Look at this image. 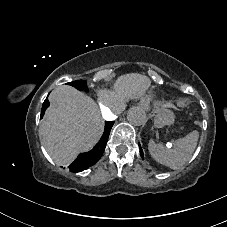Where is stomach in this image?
I'll use <instances>...</instances> for the list:
<instances>
[{"label": "stomach", "mask_w": 227, "mask_h": 227, "mask_svg": "<svg viewBox=\"0 0 227 227\" xmlns=\"http://www.w3.org/2000/svg\"><path fill=\"white\" fill-rule=\"evenodd\" d=\"M174 120H175V116L171 110L166 109L165 107L156 109V115L154 120L156 127L172 125L174 123Z\"/></svg>", "instance_id": "1"}]
</instances>
